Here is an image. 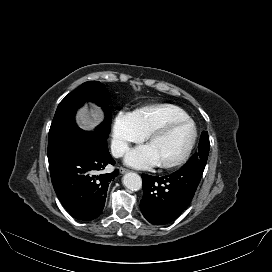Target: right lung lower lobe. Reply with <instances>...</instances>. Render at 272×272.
Here are the masks:
<instances>
[{"label": "right lung lower lobe", "mask_w": 272, "mask_h": 272, "mask_svg": "<svg viewBox=\"0 0 272 272\" xmlns=\"http://www.w3.org/2000/svg\"><path fill=\"white\" fill-rule=\"evenodd\" d=\"M54 190L64 208L75 218H97L105 205L109 183L118 170L102 173L114 165L107 138L79 130L55 156L48 159Z\"/></svg>", "instance_id": "1"}]
</instances>
